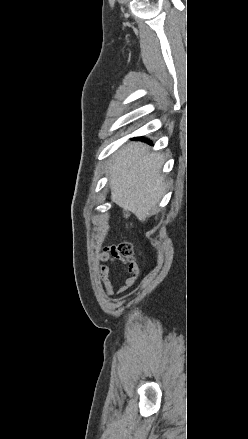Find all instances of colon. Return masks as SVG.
<instances>
[{
    "instance_id": "5ec220e1",
    "label": "colon",
    "mask_w": 248,
    "mask_h": 439,
    "mask_svg": "<svg viewBox=\"0 0 248 439\" xmlns=\"http://www.w3.org/2000/svg\"><path fill=\"white\" fill-rule=\"evenodd\" d=\"M117 249L130 263H135L134 250L129 243L123 242L117 247Z\"/></svg>"
}]
</instances>
